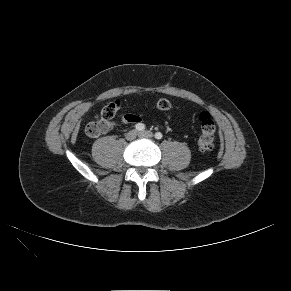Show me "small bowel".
<instances>
[{
    "label": "small bowel",
    "instance_id": "c3829d8e",
    "mask_svg": "<svg viewBox=\"0 0 291 291\" xmlns=\"http://www.w3.org/2000/svg\"><path fill=\"white\" fill-rule=\"evenodd\" d=\"M141 118L139 115L134 114V113H127L122 117V122L125 124H129V123H140ZM115 125V124H114Z\"/></svg>",
    "mask_w": 291,
    "mask_h": 291
}]
</instances>
